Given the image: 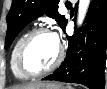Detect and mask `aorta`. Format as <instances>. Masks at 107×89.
<instances>
[{
  "instance_id": "762f6f07",
  "label": "aorta",
  "mask_w": 107,
  "mask_h": 89,
  "mask_svg": "<svg viewBox=\"0 0 107 89\" xmlns=\"http://www.w3.org/2000/svg\"><path fill=\"white\" fill-rule=\"evenodd\" d=\"M90 4V0H80L79 1V8H78V17H77V24L80 26L86 16L88 7Z\"/></svg>"
}]
</instances>
